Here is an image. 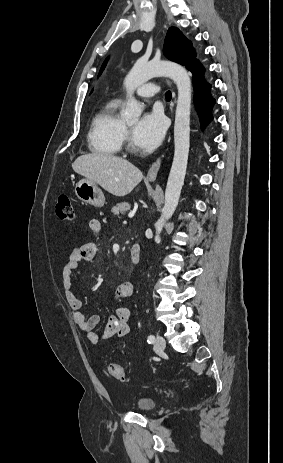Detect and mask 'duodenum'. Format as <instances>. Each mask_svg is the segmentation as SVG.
<instances>
[{
	"mask_svg": "<svg viewBox=\"0 0 283 463\" xmlns=\"http://www.w3.org/2000/svg\"><path fill=\"white\" fill-rule=\"evenodd\" d=\"M140 256H141L140 246H139L138 243H134V244L131 246V250H130V261H131V264H133V265L138 264L139 261H140Z\"/></svg>",
	"mask_w": 283,
	"mask_h": 463,
	"instance_id": "duodenum-1",
	"label": "duodenum"
}]
</instances>
